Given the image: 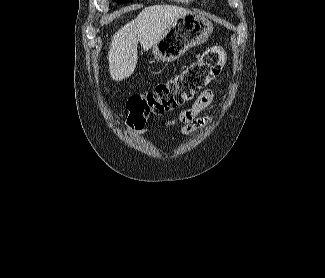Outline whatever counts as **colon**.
Wrapping results in <instances>:
<instances>
[{"instance_id":"1","label":"colon","mask_w":325,"mask_h":278,"mask_svg":"<svg viewBox=\"0 0 325 278\" xmlns=\"http://www.w3.org/2000/svg\"><path fill=\"white\" fill-rule=\"evenodd\" d=\"M225 63L223 48L211 47L176 77L142 95L131 97L126 104L128 126L141 129L150 116L170 111L191 100L219 75Z\"/></svg>"}]
</instances>
